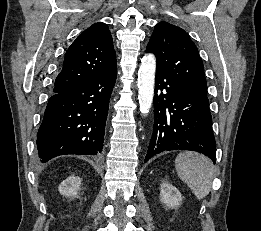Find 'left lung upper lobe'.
Here are the masks:
<instances>
[{"label":"left lung upper lobe","mask_w":261,"mask_h":231,"mask_svg":"<svg viewBox=\"0 0 261 231\" xmlns=\"http://www.w3.org/2000/svg\"><path fill=\"white\" fill-rule=\"evenodd\" d=\"M157 59L156 69L178 82L190 95L208 101L206 78L197 47L181 28L158 23L147 45Z\"/></svg>","instance_id":"1"}]
</instances>
